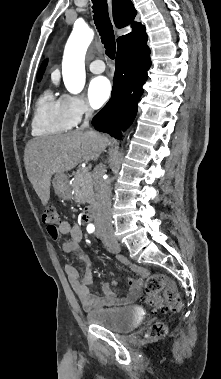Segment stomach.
<instances>
[{
    "label": "stomach",
    "instance_id": "1",
    "mask_svg": "<svg viewBox=\"0 0 221 379\" xmlns=\"http://www.w3.org/2000/svg\"><path fill=\"white\" fill-rule=\"evenodd\" d=\"M53 187L55 193L62 198H70V187L67 175L64 173H58L53 179Z\"/></svg>",
    "mask_w": 221,
    "mask_h": 379
}]
</instances>
